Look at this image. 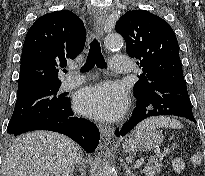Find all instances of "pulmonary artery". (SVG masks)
<instances>
[{"label": "pulmonary artery", "instance_id": "e3ab8cb5", "mask_svg": "<svg viewBox=\"0 0 205 176\" xmlns=\"http://www.w3.org/2000/svg\"><path fill=\"white\" fill-rule=\"evenodd\" d=\"M112 69L116 73H126L130 68V58L127 55H115L112 58ZM83 76H71L65 79L63 82L64 89H71L79 86L84 82Z\"/></svg>", "mask_w": 205, "mask_h": 176}]
</instances>
